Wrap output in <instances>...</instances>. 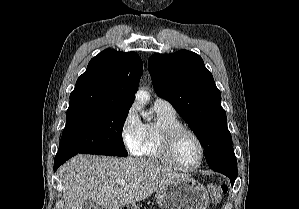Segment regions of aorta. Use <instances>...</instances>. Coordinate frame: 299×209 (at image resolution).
<instances>
[{
  "label": "aorta",
  "instance_id": "obj_1",
  "mask_svg": "<svg viewBox=\"0 0 299 209\" xmlns=\"http://www.w3.org/2000/svg\"><path fill=\"white\" fill-rule=\"evenodd\" d=\"M135 99H136L138 102L144 104V103H146V102L150 99V96H149V94H148L146 91H144V90H139V91L136 93V95H135ZM142 116H143L144 118L149 117L147 113H142Z\"/></svg>",
  "mask_w": 299,
  "mask_h": 209
}]
</instances>
